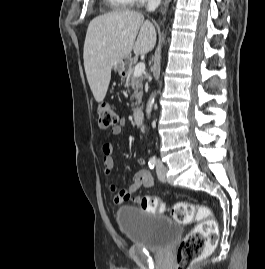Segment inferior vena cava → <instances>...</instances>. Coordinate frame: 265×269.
<instances>
[{"instance_id":"602c4592","label":"inferior vena cava","mask_w":265,"mask_h":269,"mask_svg":"<svg viewBox=\"0 0 265 269\" xmlns=\"http://www.w3.org/2000/svg\"><path fill=\"white\" fill-rule=\"evenodd\" d=\"M161 0H148L147 11L152 12L160 5Z\"/></svg>"}]
</instances>
